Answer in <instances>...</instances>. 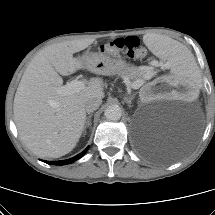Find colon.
I'll return each mask as SVG.
<instances>
[{"mask_svg":"<svg viewBox=\"0 0 215 215\" xmlns=\"http://www.w3.org/2000/svg\"><path fill=\"white\" fill-rule=\"evenodd\" d=\"M101 50L106 53L118 54L126 53L130 58L141 59L146 55V49L142 46L140 39L136 36L118 38L101 46Z\"/></svg>","mask_w":215,"mask_h":215,"instance_id":"obj_1","label":"colon"}]
</instances>
